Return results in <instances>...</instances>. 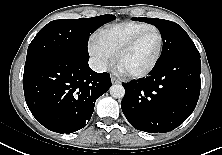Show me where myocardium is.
Segmentation results:
<instances>
[{
  "mask_svg": "<svg viewBox=\"0 0 222 155\" xmlns=\"http://www.w3.org/2000/svg\"><path fill=\"white\" fill-rule=\"evenodd\" d=\"M151 31H155L159 35L160 43H159L158 53H157L156 58L154 59L153 63L147 69H145L141 72H137V73H128L127 75L132 79L144 78V77L148 76L149 74H151L154 71V69L157 67L158 63L161 60V57L163 54V49H164L163 33L161 32V30L159 28H157L155 26L145 29V30L139 32L138 34H136L134 37H132L126 43H124L115 53V61L118 63V60L121 57V55H123L125 52H127L131 48H133L143 36H145L146 34H148Z\"/></svg>",
  "mask_w": 222,
  "mask_h": 155,
  "instance_id": "1",
  "label": "myocardium"
}]
</instances>
